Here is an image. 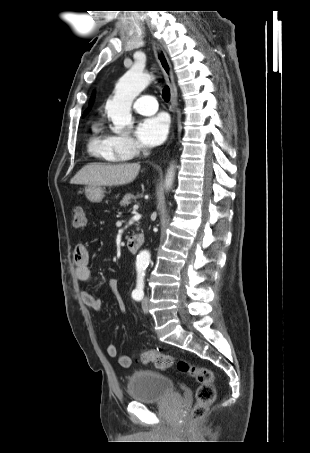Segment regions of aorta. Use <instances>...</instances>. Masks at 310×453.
<instances>
[{
  "label": "aorta",
  "instance_id": "1",
  "mask_svg": "<svg viewBox=\"0 0 310 453\" xmlns=\"http://www.w3.org/2000/svg\"><path fill=\"white\" fill-rule=\"evenodd\" d=\"M151 76L144 73L139 67L133 66L118 81L115 93L111 100L106 103V112L111 119L114 128L118 133L125 126L131 124V106L134 99L149 85ZM174 166L171 165L165 178V188L170 189L174 180ZM150 261V253L141 251L137 256L136 267L143 270Z\"/></svg>",
  "mask_w": 310,
  "mask_h": 453
}]
</instances>
